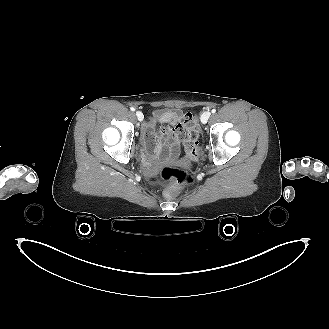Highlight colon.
<instances>
[{
	"instance_id": "colon-1",
	"label": "colon",
	"mask_w": 329,
	"mask_h": 329,
	"mask_svg": "<svg viewBox=\"0 0 329 329\" xmlns=\"http://www.w3.org/2000/svg\"><path fill=\"white\" fill-rule=\"evenodd\" d=\"M181 126L184 130V145L187 156L190 160L196 161L199 157L198 138L200 132L192 113L183 114ZM159 175L169 185L166 191L168 197H174L178 188L191 186L195 182L193 173L183 167L164 166L160 169Z\"/></svg>"
}]
</instances>
